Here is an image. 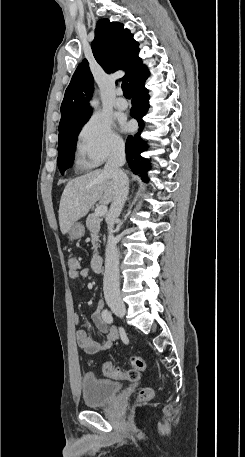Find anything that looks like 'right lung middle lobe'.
<instances>
[{
	"label": "right lung middle lobe",
	"instance_id": "obj_1",
	"mask_svg": "<svg viewBox=\"0 0 245 457\" xmlns=\"http://www.w3.org/2000/svg\"><path fill=\"white\" fill-rule=\"evenodd\" d=\"M88 119L89 117L65 124L59 128L57 163L62 174L66 169L72 167L76 139L82 126L88 121Z\"/></svg>",
	"mask_w": 245,
	"mask_h": 457
}]
</instances>
